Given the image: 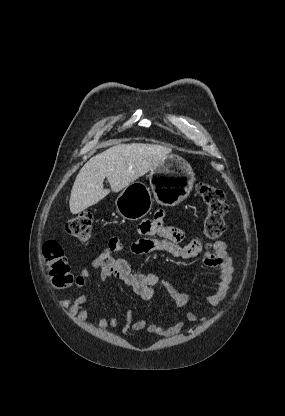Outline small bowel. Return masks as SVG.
Returning <instances> with one entry per match:
<instances>
[{"instance_id":"1","label":"small bowel","mask_w":285,"mask_h":416,"mask_svg":"<svg viewBox=\"0 0 285 416\" xmlns=\"http://www.w3.org/2000/svg\"><path fill=\"white\" fill-rule=\"evenodd\" d=\"M139 233L142 237L130 244V251L136 255L164 252L172 257L186 260L203 254L204 265L218 271V282L215 290L203 298L207 304L213 307L211 314L216 315L218 313L217 306L226 298L234 272L226 243L218 240L211 245H205L201 239L195 238L185 245H180L186 237L185 232L178 227L165 224L164 213L161 210L156 212L153 219L141 222ZM123 247L118 238H113L110 240L107 249L92 260L91 266L99 271L101 281L115 278L144 301L151 300L155 295L156 287L162 286L169 293L177 308H184L191 302L201 299V296L197 294L190 295L177 291L168 280L161 279L155 274L133 271L125 259L116 258L113 255L115 252L122 250ZM90 275V270L83 268L75 278V287L77 289L84 288ZM87 302L88 296L83 294L63 299L60 304L68 310L69 316L84 323L88 319V312L84 307ZM207 320V317L199 319L195 312L186 310L182 320L170 326H161L154 322L149 323L144 318L134 320L133 312L127 310L122 333L126 335L145 330L149 334L172 336L182 329L185 322L195 323L197 321L206 322ZM118 324L119 320L115 316L110 318L101 316L98 320V327L101 330L113 329Z\"/></svg>"}]
</instances>
